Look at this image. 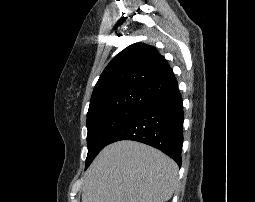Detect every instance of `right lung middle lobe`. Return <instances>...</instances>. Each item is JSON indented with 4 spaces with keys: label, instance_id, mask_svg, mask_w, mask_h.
Returning <instances> with one entry per match:
<instances>
[{
    "label": "right lung middle lobe",
    "instance_id": "dd1d6c3e",
    "mask_svg": "<svg viewBox=\"0 0 255 202\" xmlns=\"http://www.w3.org/2000/svg\"><path fill=\"white\" fill-rule=\"evenodd\" d=\"M138 109L119 108L87 116L88 155L85 169L96 155L106 146L115 132L126 123Z\"/></svg>",
    "mask_w": 255,
    "mask_h": 202
}]
</instances>
